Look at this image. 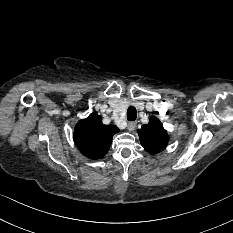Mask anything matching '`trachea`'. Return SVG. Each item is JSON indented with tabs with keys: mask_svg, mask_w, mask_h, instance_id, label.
<instances>
[{
	"mask_svg": "<svg viewBox=\"0 0 233 233\" xmlns=\"http://www.w3.org/2000/svg\"><path fill=\"white\" fill-rule=\"evenodd\" d=\"M137 118V111L134 107H129L127 110V119L129 121H134Z\"/></svg>",
	"mask_w": 233,
	"mask_h": 233,
	"instance_id": "1",
	"label": "trachea"
}]
</instances>
